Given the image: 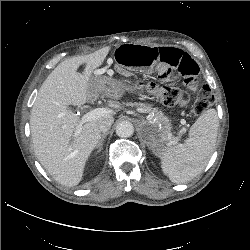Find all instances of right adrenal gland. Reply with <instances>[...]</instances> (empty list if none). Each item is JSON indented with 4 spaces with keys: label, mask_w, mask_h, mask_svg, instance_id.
<instances>
[{
    "label": "right adrenal gland",
    "mask_w": 250,
    "mask_h": 250,
    "mask_svg": "<svg viewBox=\"0 0 250 250\" xmlns=\"http://www.w3.org/2000/svg\"><path fill=\"white\" fill-rule=\"evenodd\" d=\"M108 135V133H104L101 135V138L98 142V144L96 145V148L98 149L97 153H99L102 150V146H103V141L106 138V136Z\"/></svg>",
    "instance_id": "obj_1"
}]
</instances>
